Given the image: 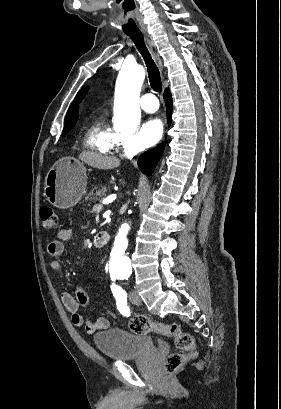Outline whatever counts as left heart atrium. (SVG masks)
Here are the masks:
<instances>
[{"label": "left heart atrium", "instance_id": "39dd6f15", "mask_svg": "<svg viewBox=\"0 0 281 409\" xmlns=\"http://www.w3.org/2000/svg\"><path fill=\"white\" fill-rule=\"evenodd\" d=\"M163 135V122L156 116L150 117L142 126L140 138L142 143L147 146L157 144Z\"/></svg>", "mask_w": 281, "mask_h": 409}]
</instances>
